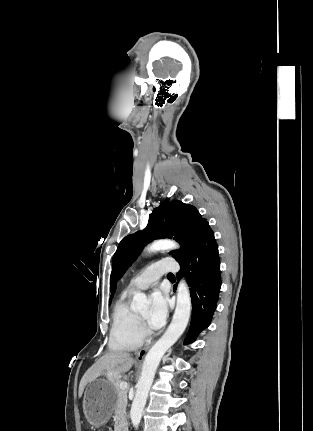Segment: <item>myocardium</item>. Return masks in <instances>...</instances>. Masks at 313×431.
<instances>
[{"label":"myocardium","instance_id":"f54148a6","mask_svg":"<svg viewBox=\"0 0 313 431\" xmlns=\"http://www.w3.org/2000/svg\"><path fill=\"white\" fill-rule=\"evenodd\" d=\"M138 319L140 323H144V320L140 316H138Z\"/></svg>","mask_w":313,"mask_h":431}]
</instances>
